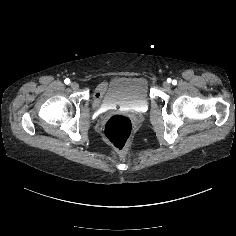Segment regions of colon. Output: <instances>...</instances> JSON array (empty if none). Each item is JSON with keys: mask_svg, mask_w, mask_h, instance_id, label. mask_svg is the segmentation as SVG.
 I'll return each instance as SVG.
<instances>
[{"mask_svg": "<svg viewBox=\"0 0 236 236\" xmlns=\"http://www.w3.org/2000/svg\"><path fill=\"white\" fill-rule=\"evenodd\" d=\"M132 132V120L123 114L111 116L104 126V135L106 140L119 151L127 149Z\"/></svg>", "mask_w": 236, "mask_h": 236, "instance_id": "colon-1", "label": "colon"}]
</instances>
